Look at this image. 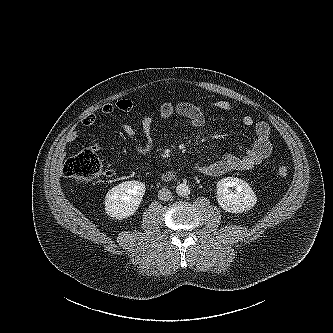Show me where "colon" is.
<instances>
[{"label": "colon", "instance_id": "1", "mask_svg": "<svg viewBox=\"0 0 333 333\" xmlns=\"http://www.w3.org/2000/svg\"><path fill=\"white\" fill-rule=\"evenodd\" d=\"M102 164L92 149H84L78 154L69 157L64 164V173L78 183H88L102 174ZM281 177L288 175V167L284 164L278 166Z\"/></svg>", "mask_w": 333, "mask_h": 333}]
</instances>
